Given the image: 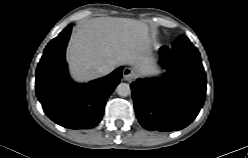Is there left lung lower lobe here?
<instances>
[{
  "mask_svg": "<svg viewBox=\"0 0 248 158\" xmlns=\"http://www.w3.org/2000/svg\"><path fill=\"white\" fill-rule=\"evenodd\" d=\"M167 74L159 79H138L130 86L136 116L147 130L175 131L188 126L205 99L206 75L200 54L190 42L175 40L160 48Z\"/></svg>",
  "mask_w": 248,
  "mask_h": 158,
  "instance_id": "1",
  "label": "left lung lower lobe"
}]
</instances>
